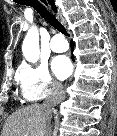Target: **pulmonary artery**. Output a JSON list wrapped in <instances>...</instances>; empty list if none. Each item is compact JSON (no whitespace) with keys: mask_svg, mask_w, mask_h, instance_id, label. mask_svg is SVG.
Here are the masks:
<instances>
[{"mask_svg":"<svg viewBox=\"0 0 117 136\" xmlns=\"http://www.w3.org/2000/svg\"><path fill=\"white\" fill-rule=\"evenodd\" d=\"M50 48L54 52H64L68 49V43L61 36L56 35L50 42Z\"/></svg>","mask_w":117,"mask_h":136,"instance_id":"pulmonary-artery-1","label":"pulmonary artery"}]
</instances>
